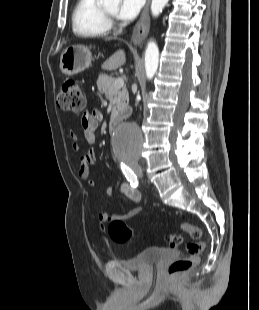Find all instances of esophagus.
Here are the masks:
<instances>
[{
	"label": "esophagus",
	"mask_w": 259,
	"mask_h": 310,
	"mask_svg": "<svg viewBox=\"0 0 259 310\" xmlns=\"http://www.w3.org/2000/svg\"><path fill=\"white\" fill-rule=\"evenodd\" d=\"M150 1L147 0L146 5L143 9L142 15L139 19V21L136 23L133 33H132V42L135 45H141L144 39L146 38L148 32H149V6Z\"/></svg>",
	"instance_id": "obj_1"
}]
</instances>
